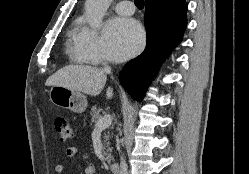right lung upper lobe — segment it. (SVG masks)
Segmentation results:
<instances>
[{
	"label": "right lung upper lobe",
	"instance_id": "right-lung-upper-lobe-1",
	"mask_svg": "<svg viewBox=\"0 0 249 174\" xmlns=\"http://www.w3.org/2000/svg\"><path fill=\"white\" fill-rule=\"evenodd\" d=\"M146 1H152L153 3L155 2V3H158V2H165V1H167V0H146Z\"/></svg>",
	"mask_w": 249,
	"mask_h": 174
}]
</instances>
